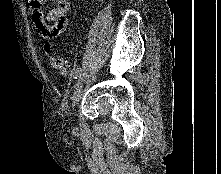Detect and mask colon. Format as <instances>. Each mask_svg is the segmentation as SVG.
Here are the masks:
<instances>
[{"label": "colon", "mask_w": 221, "mask_h": 174, "mask_svg": "<svg viewBox=\"0 0 221 174\" xmlns=\"http://www.w3.org/2000/svg\"><path fill=\"white\" fill-rule=\"evenodd\" d=\"M44 50L47 54L48 62L53 68L58 69L61 72H67L69 65L66 59L53 53L49 43L44 44Z\"/></svg>", "instance_id": "obj_1"}]
</instances>
